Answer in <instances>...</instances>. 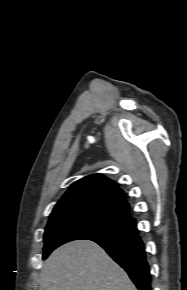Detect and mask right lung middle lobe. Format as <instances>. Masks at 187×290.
<instances>
[{
    "mask_svg": "<svg viewBox=\"0 0 187 290\" xmlns=\"http://www.w3.org/2000/svg\"><path fill=\"white\" fill-rule=\"evenodd\" d=\"M132 225L129 220L105 208L80 207L53 213L44 234L43 259L69 241L117 232Z\"/></svg>",
    "mask_w": 187,
    "mask_h": 290,
    "instance_id": "1",
    "label": "right lung middle lobe"
}]
</instances>
